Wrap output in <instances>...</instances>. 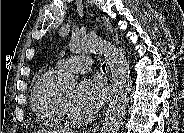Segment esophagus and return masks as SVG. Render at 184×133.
Masks as SVG:
<instances>
[{
  "mask_svg": "<svg viewBox=\"0 0 184 133\" xmlns=\"http://www.w3.org/2000/svg\"><path fill=\"white\" fill-rule=\"evenodd\" d=\"M110 95H111V92H110ZM98 129H99V125L94 127L93 132H96Z\"/></svg>",
  "mask_w": 184,
  "mask_h": 133,
  "instance_id": "1",
  "label": "esophagus"
}]
</instances>
